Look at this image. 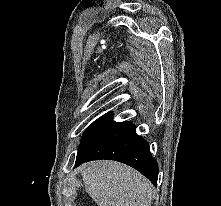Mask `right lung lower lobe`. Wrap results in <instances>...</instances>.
<instances>
[{"label":"right lung lower lobe","mask_w":221,"mask_h":206,"mask_svg":"<svg viewBox=\"0 0 221 206\" xmlns=\"http://www.w3.org/2000/svg\"><path fill=\"white\" fill-rule=\"evenodd\" d=\"M135 128L127 121L113 124L76 159L74 168L91 160H116L135 168L157 185L158 164L149 144L136 134Z\"/></svg>","instance_id":"obj_1"}]
</instances>
